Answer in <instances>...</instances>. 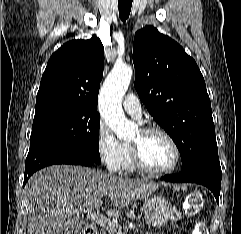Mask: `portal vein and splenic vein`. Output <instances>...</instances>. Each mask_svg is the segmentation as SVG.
<instances>
[{"instance_id":"1","label":"portal vein and splenic vein","mask_w":241,"mask_h":234,"mask_svg":"<svg viewBox=\"0 0 241 234\" xmlns=\"http://www.w3.org/2000/svg\"><path fill=\"white\" fill-rule=\"evenodd\" d=\"M102 205V202L99 201L97 202L93 207L89 208L91 210H97L100 206ZM87 219H91L93 222L97 223L101 227H104L106 229H114V230H119L121 227L105 217L103 214L95 213V212H90V211H84Z\"/></svg>"}]
</instances>
